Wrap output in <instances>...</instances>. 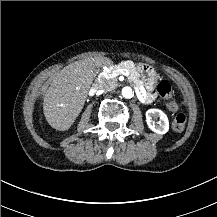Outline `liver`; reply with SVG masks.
<instances>
[{"label":"liver","instance_id":"1","mask_svg":"<svg viewBox=\"0 0 217 217\" xmlns=\"http://www.w3.org/2000/svg\"><path fill=\"white\" fill-rule=\"evenodd\" d=\"M105 66H112L110 58L93 57L75 61L56 74L43 103L45 119L53 129L67 131L72 127L96 76L94 70Z\"/></svg>","mask_w":217,"mask_h":217}]
</instances>
